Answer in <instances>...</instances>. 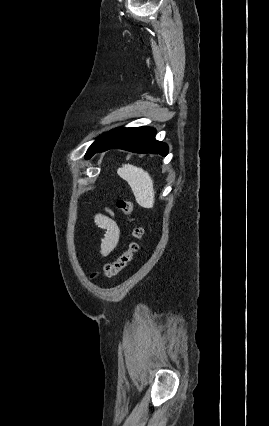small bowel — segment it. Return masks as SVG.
<instances>
[{"mask_svg": "<svg viewBox=\"0 0 269 426\" xmlns=\"http://www.w3.org/2000/svg\"><path fill=\"white\" fill-rule=\"evenodd\" d=\"M95 223L99 228L105 231L100 244V255L102 257H107L116 248L119 242L121 228L111 213L97 214L95 216Z\"/></svg>", "mask_w": 269, "mask_h": 426, "instance_id": "c3829d8e", "label": "small bowel"}]
</instances>
